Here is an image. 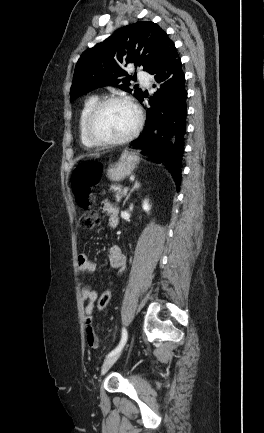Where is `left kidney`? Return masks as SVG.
I'll list each match as a JSON object with an SVG mask.
<instances>
[{"instance_id": "1", "label": "left kidney", "mask_w": 264, "mask_h": 433, "mask_svg": "<svg viewBox=\"0 0 264 433\" xmlns=\"http://www.w3.org/2000/svg\"><path fill=\"white\" fill-rule=\"evenodd\" d=\"M142 207H143V210H144L145 212L148 213V212L150 211L151 206L149 205L148 200H145V201L143 202Z\"/></svg>"}]
</instances>
